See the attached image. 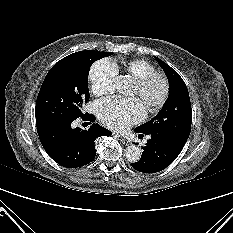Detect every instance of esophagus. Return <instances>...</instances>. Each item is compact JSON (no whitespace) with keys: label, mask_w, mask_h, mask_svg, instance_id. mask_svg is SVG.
<instances>
[{"label":"esophagus","mask_w":233,"mask_h":233,"mask_svg":"<svg viewBox=\"0 0 233 233\" xmlns=\"http://www.w3.org/2000/svg\"><path fill=\"white\" fill-rule=\"evenodd\" d=\"M119 140H120V142H122L125 145H129L130 144V140L127 139V138H125V137L119 136Z\"/></svg>","instance_id":"1"}]
</instances>
